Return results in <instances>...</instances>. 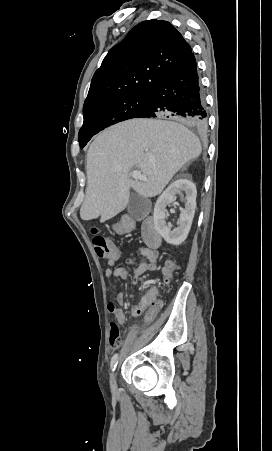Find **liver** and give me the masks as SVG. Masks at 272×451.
<instances>
[{"label":"liver","mask_w":272,"mask_h":451,"mask_svg":"<svg viewBox=\"0 0 272 451\" xmlns=\"http://www.w3.org/2000/svg\"><path fill=\"white\" fill-rule=\"evenodd\" d=\"M201 144L186 126L168 120L135 118L98 134L87 152V190L82 220L114 218L129 204L130 188L143 198L163 192L174 174L198 158ZM139 168L148 182L131 180Z\"/></svg>","instance_id":"6515ba94"}]
</instances>
